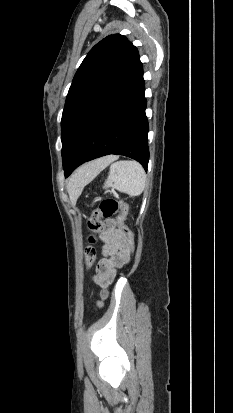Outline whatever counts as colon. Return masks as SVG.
Listing matches in <instances>:
<instances>
[{
	"label": "colon",
	"instance_id": "1",
	"mask_svg": "<svg viewBox=\"0 0 233 413\" xmlns=\"http://www.w3.org/2000/svg\"><path fill=\"white\" fill-rule=\"evenodd\" d=\"M116 214L118 230L125 237L130 254L132 253L134 248L133 237L132 233L125 225L127 206L120 200L107 198L101 201L98 208L87 220V228L89 230L87 240L89 245L85 250V258L89 267L96 259V249L93 246V243L96 241V236L97 234L103 233L106 229V223L103 222V219H110Z\"/></svg>",
	"mask_w": 233,
	"mask_h": 413
}]
</instances>
